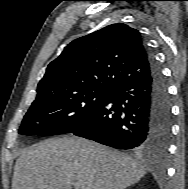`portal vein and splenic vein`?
I'll return each mask as SVG.
<instances>
[{
	"instance_id": "1",
	"label": "portal vein and splenic vein",
	"mask_w": 188,
	"mask_h": 189,
	"mask_svg": "<svg viewBox=\"0 0 188 189\" xmlns=\"http://www.w3.org/2000/svg\"><path fill=\"white\" fill-rule=\"evenodd\" d=\"M73 185H74V188H75V189H80L79 183H74Z\"/></svg>"
}]
</instances>
